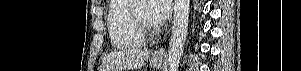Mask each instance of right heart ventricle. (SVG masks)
I'll return each instance as SVG.
<instances>
[{
	"instance_id": "e07e8e85",
	"label": "right heart ventricle",
	"mask_w": 301,
	"mask_h": 71,
	"mask_svg": "<svg viewBox=\"0 0 301 71\" xmlns=\"http://www.w3.org/2000/svg\"><path fill=\"white\" fill-rule=\"evenodd\" d=\"M130 5L129 0H114L109 7L107 27L111 43L116 48H133L145 43V37L133 23Z\"/></svg>"
}]
</instances>
